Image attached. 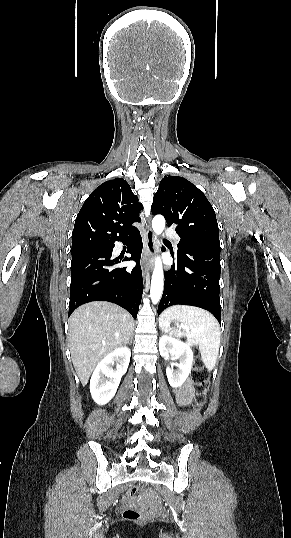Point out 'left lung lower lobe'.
Returning a JSON list of instances; mask_svg holds the SVG:
<instances>
[{"mask_svg":"<svg viewBox=\"0 0 291 538\" xmlns=\"http://www.w3.org/2000/svg\"><path fill=\"white\" fill-rule=\"evenodd\" d=\"M171 255L174 258L173 252ZM220 248L188 246L177 253V264L165 273L158 315L172 305H191L210 311L221 323Z\"/></svg>","mask_w":291,"mask_h":538,"instance_id":"1","label":"left lung lower lobe"}]
</instances>
